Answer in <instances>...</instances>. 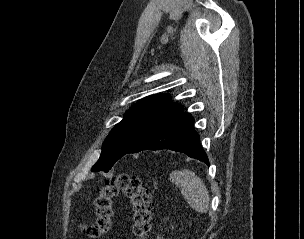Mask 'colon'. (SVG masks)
<instances>
[{
    "label": "colon",
    "instance_id": "obj_1",
    "mask_svg": "<svg viewBox=\"0 0 304 239\" xmlns=\"http://www.w3.org/2000/svg\"><path fill=\"white\" fill-rule=\"evenodd\" d=\"M122 195L131 206L132 232L137 239H148L153 212L151 192L141 179L131 174H118L100 186L94 199L95 220L83 226L84 232L92 239H99L112 228L113 200Z\"/></svg>",
    "mask_w": 304,
    "mask_h": 239
}]
</instances>
